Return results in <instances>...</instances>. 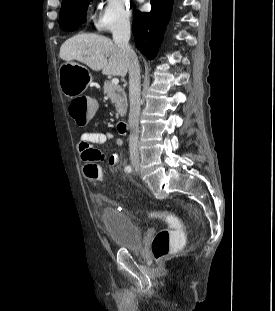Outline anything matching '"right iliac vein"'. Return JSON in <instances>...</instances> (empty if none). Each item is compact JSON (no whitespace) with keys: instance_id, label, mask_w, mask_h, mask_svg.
Here are the masks:
<instances>
[{"instance_id":"obj_1","label":"right iliac vein","mask_w":275,"mask_h":311,"mask_svg":"<svg viewBox=\"0 0 275 311\" xmlns=\"http://www.w3.org/2000/svg\"><path fill=\"white\" fill-rule=\"evenodd\" d=\"M132 164L135 165V166H138V164H139V159H138V158H134V159L132 160Z\"/></svg>"}]
</instances>
